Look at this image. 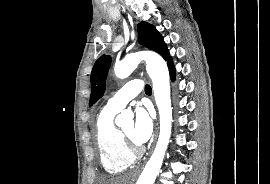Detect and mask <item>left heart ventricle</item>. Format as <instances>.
<instances>
[{
  "label": "left heart ventricle",
  "instance_id": "b2bd125f",
  "mask_svg": "<svg viewBox=\"0 0 270 184\" xmlns=\"http://www.w3.org/2000/svg\"><path fill=\"white\" fill-rule=\"evenodd\" d=\"M122 130L129 136L131 137L134 141V136H133V131H134V124L133 122H128L126 123L123 127Z\"/></svg>",
  "mask_w": 270,
  "mask_h": 184
}]
</instances>
